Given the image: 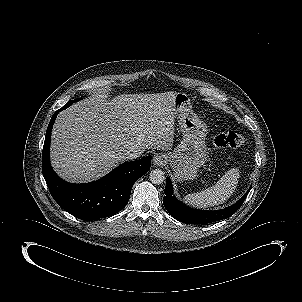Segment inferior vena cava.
<instances>
[{
  "label": "inferior vena cava",
  "instance_id": "obj_1",
  "mask_svg": "<svg viewBox=\"0 0 302 302\" xmlns=\"http://www.w3.org/2000/svg\"><path fill=\"white\" fill-rule=\"evenodd\" d=\"M143 152L136 150V149H132L129 151H125L124 153H122V158L127 159V160H135L137 158H139L142 155Z\"/></svg>",
  "mask_w": 302,
  "mask_h": 302
}]
</instances>
